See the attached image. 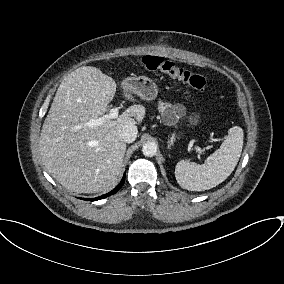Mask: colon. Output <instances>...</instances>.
Returning a JSON list of instances; mask_svg holds the SVG:
<instances>
[{
	"label": "colon",
	"instance_id": "5ec220e1",
	"mask_svg": "<svg viewBox=\"0 0 284 284\" xmlns=\"http://www.w3.org/2000/svg\"><path fill=\"white\" fill-rule=\"evenodd\" d=\"M141 62L148 70L161 71L172 79L186 84L193 89L203 91L206 88L207 82L205 77L182 68L171 60L160 56L146 55L142 57Z\"/></svg>",
	"mask_w": 284,
	"mask_h": 284
}]
</instances>
